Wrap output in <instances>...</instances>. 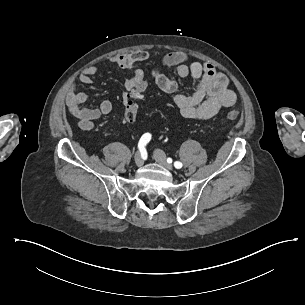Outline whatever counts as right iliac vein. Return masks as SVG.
Returning <instances> with one entry per match:
<instances>
[{"label":"right iliac vein","instance_id":"obj_1","mask_svg":"<svg viewBox=\"0 0 305 305\" xmlns=\"http://www.w3.org/2000/svg\"><path fill=\"white\" fill-rule=\"evenodd\" d=\"M144 161L142 159V157L140 156V153L137 152L136 157H135V165L137 167H141L143 165Z\"/></svg>","mask_w":305,"mask_h":305}]
</instances>
